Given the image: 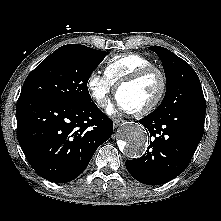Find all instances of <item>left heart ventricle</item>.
<instances>
[{
  "label": "left heart ventricle",
  "instance_id": "1",
  "mask_svg": "<svg viewBox=\"0 0 221 221\" xmlns=\"http://www.w3.org/2000/svg\"><path fill=\"white\" fill-rule=\"evenodd\" d=\"M161 81L156 73L123 87L117 95L122 105L128 110H135L151 103L158 95Z\"/></svg>",
  "mask_w": 221,
  "mask_h": 221
}]
</instances>
